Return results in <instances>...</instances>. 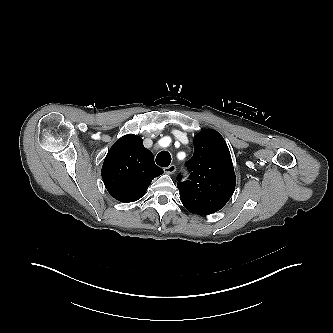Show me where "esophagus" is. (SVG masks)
I'll return each instance as SVG.
<instances>
[{"instance_id": "1", "label": "esophagus", "mask_w": 333, "mask_h": 333, "mask_svg": "<svg viewBox=\"0 0 333 333\" xmlns=\"http://www.w3.org/2000/svg\"><path fill=\"white\" fill-rule=\"evenodd\" d=\"M175 171H176V166L173 164L164 168V172L167 174H173Z\"/></svg>"}]
</instances>
